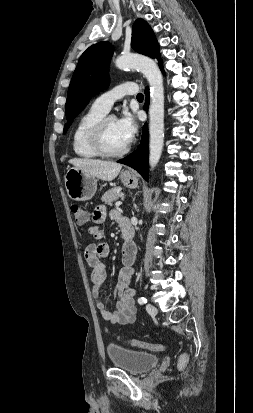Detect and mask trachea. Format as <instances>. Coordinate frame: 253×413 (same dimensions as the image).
<instances>
[{
	"mask_svg": "<svg viewBox=\"0 0 253 413\" xmlns=\"http://www.w3.org/2000/svg\"><path fill=\"white\" fill-rule=\"evenodd\" d=\"M137 100H139V101H142V100H143V94H142V93H139V94L137 95Z\"/></svg>",
	"mask_w": 253,
	"mask_h": 413,
	"instance_id": "1",
	"label": "trachea"
}]
</instances>
